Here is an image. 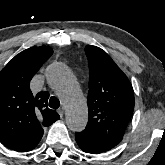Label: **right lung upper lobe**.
I'll use <instances>...</instances> for the list:
<instances>
[{"label": "right lung upper lobe", "instance_id": "obj_1", "mask_svg": "<svg viewBox=\"0 0 165 165\" xmlns=\"http://www.w3.org/2000/svg\"><path fill=\"white\" fill-rule=\"evenodd\" d=\"M52 53L47 46L26 49L0 72V142L9 149L32 150L43 136V127L60 118L47 108L49 93L33 95L29 87Z\"/></svg>", "mask_w": 165, "mask_h": 165}]
</instances>
